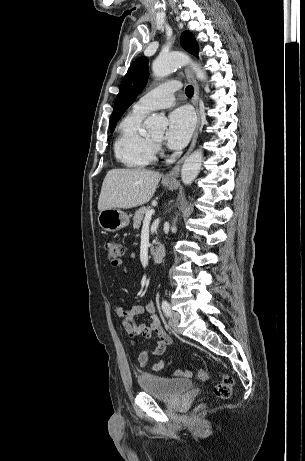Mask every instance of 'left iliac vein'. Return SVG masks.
Instances as JSON below:
<instances>
[{"label": "left iliac vein", "mask_w": 305, "mask_h": 461, "mask_svg": "<svg viewBox=\"0 0 305 461\" xmlns=\"http://www.w3.org/2000/svg\"><path fill=\"white\" fill-rule=\"evenodd\" d=\"M179 321H180V314L178 312H173L171 316V327L177 333L180 332Z\"/></svg>", "instance_id": "obj_1"}]
</instances>
